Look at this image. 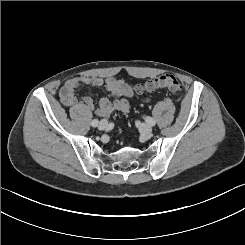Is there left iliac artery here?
Instances as JSON below:
<instances>
[{"mask_svg":"<svg viewBox=\"0 0 245 245\" xmlns=\"http://www.w3.org/2000/svg\"><path fill=\"white\" fill-rule=\"evenodd\" d=\"M146 122L150 125V126H154L156 124L155 120L151 117H146Z\"/></svg>","mask_w":245,"mask_h":245,"instance_id":"left-iliac-artery-1","label":"left iliac artery"}]
</instances>
